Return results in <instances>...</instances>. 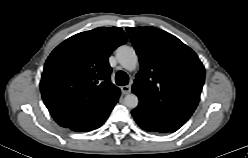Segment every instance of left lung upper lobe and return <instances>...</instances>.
Instances as JSON below:
<instances>
[{
    "instance_id": "left-lung-upper-lobe-1",
    "label": "left lung upper lobe",
    "mask_w": 248,
    "mask_h": 158,
    "mask_svg": "<svg viewBox=\"0 0 248 158\" xmlns=\"http://www.w3.org/2000/svg\"><path fill=\"white\" fill-rule=\"evenodd\" d=\"M141 69L132 92L138 108L178 130L200 100L205 69L196 53L178 38L155 27L126 28Z\"/></svg>"
}]
</instances>
